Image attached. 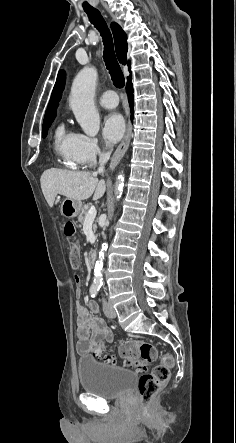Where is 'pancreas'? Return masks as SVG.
<instances>
[{
	"mask_svg": "<svg viewBox=\"0 0 236 443\" xmlns=\"http://www.w3.org/2000/svg\"><path fill=\"white\" fill-rule=\"evenodd\" d=\"M88 211H89L88 208H83L81 213L79 214L78 221L81 224H83L85 222V218H86V215H87ZM96 229H97V225H96V223H94L93 224V230L96 231Z\"/></svg>",
	"mask_w": 236,
	"mask_h": 443,
	"instance_id": "pancreas-1",
	"label": "pancreas"
}]
</instances>
